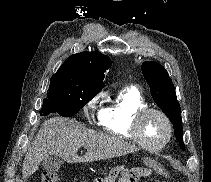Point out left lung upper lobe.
<instances>
[{"label": "left lung upper lobe", "mask_w": 211, "mask_h": 182, "mask_svg": "<svg viewBox=\"0 0 211 182\" xmlns=\"http://www.w3.org/2000/svg\"><path fill=\"white\" fill-rule=\"evenodd\" d=\"M142 73L150 87L153 100L172 122L176 139L179 141L181 148L185 150L181 108L168 72L159 63L146 61L142 64Z\"/></svg>", "instance_id": "obj_1"}]
</instances>
